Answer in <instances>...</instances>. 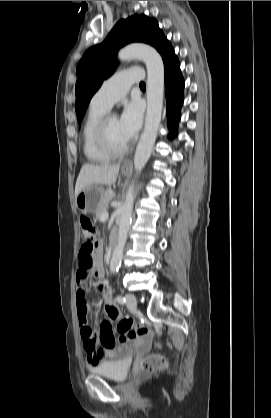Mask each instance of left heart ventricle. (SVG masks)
Segmentation results:
<instances>
[{
  "instance_id": "b2bd125f",
  "label": "left heart ventricle",
  "mask_w": 271,
  "mask_h": 418,
  "mask_svg": "<svg viewBox=\"0 0 271 418\" xmlns=\"http://www.w3.org/2000/svg\"><path fill=\"white\" fill-rule=\"evenodd\" d=\"M108 132L113 145L121 147L128 142L122 134L119 119L115 116L109 122Z\"/></svg>"
}]
</instances>
